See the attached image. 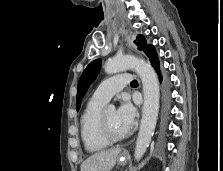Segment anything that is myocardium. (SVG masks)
I'll list each match as a JSON object with an SVG mask.
<instances>
[{"label":"myocardium","mask_w":223,"mask_h":171,"mask_svg":"<svg viewBox=\"0 0 223 171\" xmlns=\"http://www.w3.org/2000/svg\"><path fill=\"white\" fill-rule=\"evenodd\" d=\"M98 126H99V132H100V135L101 137L107 141L108 143H116V142H119L123 139H125L128 134H124L122 136H114L109 128H108V125H107V121H106V117H105V112H102L100 117H99V123H98Z\"/></svg>","instance_id":"f54148a6"}]
</instances>
